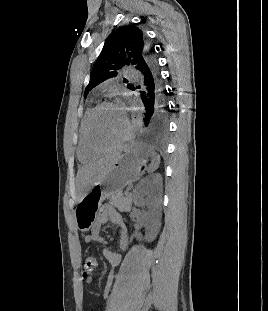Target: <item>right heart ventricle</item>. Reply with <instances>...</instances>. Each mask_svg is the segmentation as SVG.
Returning a JSON list of instances; mask_svg holds the SVG:
<instances>
[{"label": "right heart ventricle", "mask_w": 268, "mask_h": 311, "mask_svg": "<svg viewBox=\"0 0 268 311\" xmlns=\"http://www.w3.org/2000/svg\"><path fill=\"white\" fill-rule=\"evenodd\" d=\"M92 110L91 107H89L86 112L84 113L80 127H79V140H78V146H77V156L79 160L83 163H88L93 160H95L98 157V154L92 152L85 141V134H84V129H85V121L87 116L89 115L90 111Z\"/></svg>", "instance_id": "obj_1"}]
</instances>
